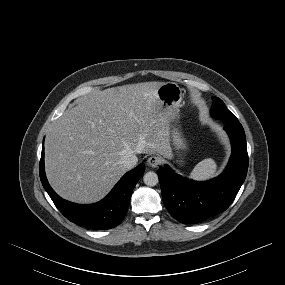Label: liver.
Wrapping results in <instances>:
<instances>
[{
  "instance_id": "liver-1",
  "label": "liver",
  "mask_w": 285,
  "mask_h": 285,
  "mask_svg": "<svg viewBox=\"0 0 285 285\" xmlns=\"http://www.w3.org/2000/svg\"><path fill=\"white\" fill-rule=\"evenodd\" d=\"M161 84L91 93L52 123L45 140V170L62 198L82 204L102 199L128 170L124 156H172V115L158 97Z\"/></svg>"
}]
</instances>
